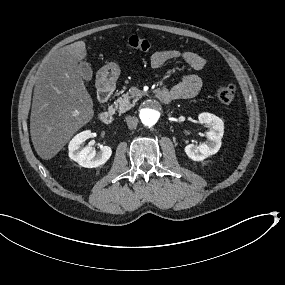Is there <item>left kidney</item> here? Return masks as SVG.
<instances>
[{
    "mask_svg": "<svg viewBox=\"0 0 285 285\" xmlns=\"http://www.w3.org/2000/svg\"><path fill=\"white\" fill-rule=\"evenodd\" d=\"M198 119L200 123L208 125L210 130L206 133V142L200 145L189 144L185 147L187 156L194 161H202L217 153L224 133V123L216 115L204 112L199 114Z\"/></svg>",
    "mask_w": 285,
    "mask_h": 285,
    "instance_id": "obj_1",
    "label": "left kidney"
}]
</instances>
